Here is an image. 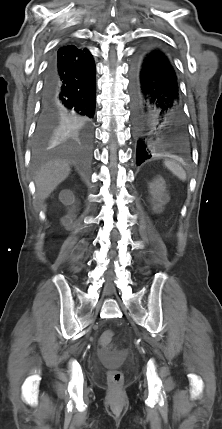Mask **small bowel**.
I'll use <instances>...</instances> for the list:
<instances>
[{"mask_svg": "<svg viewBox=\"0 0 222 429\" xmlns=\"http://www.w3.org/2000/svg\"><path fill=\"white\" fill-rule=\"evenodd\" d=\"M101 355L104 357V358H109L110 357V355H111V353L105 348V347H103L102 349H101Z\"/></svg>", "mask_w": 222, "mask_h": 429, "instance_id": "1", "label": "small bowel"}]
</instances>
